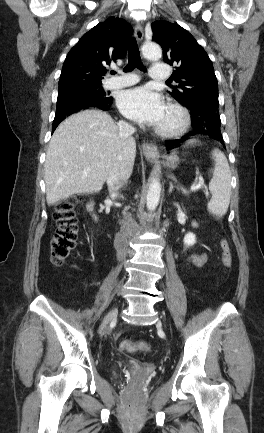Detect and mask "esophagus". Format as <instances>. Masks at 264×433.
<instances>
[{
	"label": "esophagus",
	"mask_w": 264,
	"mask_h": 433,
	"mask_svg": "<svg viewBox=\"0 0 264 433\" xmlns=\"http://www.w3.org/2000/svg\"><path fill=\"white\" fill-rule=\"evenodd\" d=\"M135 37L138 42H141L143 40V28L140 23H137L135 25ZM142 152L145 155V157L149 160H155L159 157V151L154 143L144 142L142 144Z\"/></svg>",
	"instance_id": "esophagus-1"
}]
</instances>
